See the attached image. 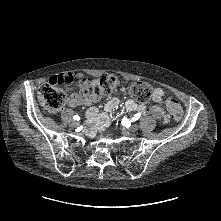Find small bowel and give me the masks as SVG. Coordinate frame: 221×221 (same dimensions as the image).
<instances>
[{"label":"small bowel","instance_id":"c3829d8e","mask_svg":"<svg viewBox=\"0 0 221 221\" xmlns=\"http://www.w3.org/2000/svg\"><path fill=\"white\" fill-rule=\"evenodd\" d=\"M81 80V73L79 71H72L71 73H64L58 76H51L48 79L49 84L51 85H60L65 84L67 82H79ZM123 94H127L126 89H122ZM165 90L163 88H155L153 91V100L156 105L150 107V113L164 121L168 122L170 116L167 112L169 110L168 100L171 98L165 97ZM99 101V96L89 95V96H79L77 94H73L69 101L68 105L71 107L85 105L90 106L86 113L87 123L89 125V132L93 133L95 129L104 131L106 130L111 122V114L117 109L119 105V100L115 97L109 98L104 106V111H100L97 107L91 106L94 103ZM125 109L127 111H139L144 113L145 107L138 105L134 100L127 99L125 102Z\"/></svg>","mask_w":221,"mask_h":221}]
</instances>
